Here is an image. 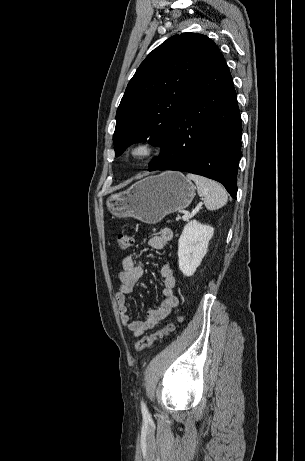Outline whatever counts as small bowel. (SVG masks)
<instances>
[{"label": "small bowel", "mask_w": 305, "mask_h": 461, "mask_svg": "<svg viewBox=\"0 0 305 461\" xmlns=\"http://www.w3.org/2000/svg\"><path fill=\"white\" fill-rule=\"evenodd\" d=\"M172 231L169 228L160 229L155 235L149 238L148 245L153 249H163L172 239ZM145 268L140 261L131 256H125L121 263L119 279L121 281L115 292V300L118 305V312L122 325L127 328L134 336H139L144 332L153 329L160 321L165 319L172 310L178 305L179 299L175 295L176 278L170 263H163L160 267V274L163 280V298L156 309L147 312L146 318L134 321L128 314L127 294L131 293L143 277Z\"/></svg>", "instance_id": "obj_1"}]
</instances>
